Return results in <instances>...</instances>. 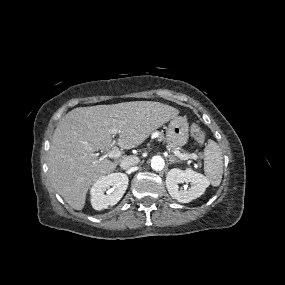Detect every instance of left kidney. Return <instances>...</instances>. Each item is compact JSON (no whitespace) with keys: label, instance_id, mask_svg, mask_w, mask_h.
<instances>
[{"label":"left kidney","instance_id":"left-kidney-1","mask_svg":"<svg viewBox=\"0 0 285 285\" xmlns=\"http://www.w3.org/2000/svg\"><path fill=\"white\" fill-rule=\"evenodd\" d=\"M190 183L189 189H180L179 183ZM209 186V181L202 174L191 169H171L166 177V187L173 199L181 203H188L200 197Z\"/></svg>","mask_w":285,"mask_h":285}]
</instances>
